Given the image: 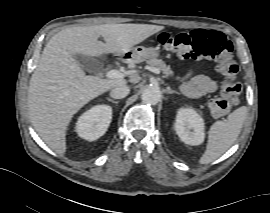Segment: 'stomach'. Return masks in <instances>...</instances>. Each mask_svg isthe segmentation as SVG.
Returning <instances> with one entry per match:
<instances>
[{"instance_id": "0dacf381", "label": "stomach", "mask_w": 270, "mask_h": 213, "mask_svg": "<svg viewBox=\"0 0 270 213\" xmlns=\"http://www.w3.org/2000/svg\"><path fill=\"white\" fill-rule=\"evenodd\" d=\"M160 55L158 48L136 46L127 51L122 57L128 62L139 63L151 58H157Z\"/></svg>"}]
</instances>
